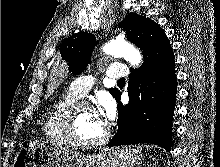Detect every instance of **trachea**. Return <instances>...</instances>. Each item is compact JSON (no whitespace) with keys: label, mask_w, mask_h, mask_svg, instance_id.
I'll use <instances>...</instances> for the list:
<instances>
[{"label":"trachea","mask_w":220,"mask_h":167,"mask_svg":"<svg viewBox=\"0 0 220 167\" xmlns=\"http://www.w3.org/2000/svg\"><path fill=\"white\" fill-rule=\"evenodd\" d=\"M118 82H125V79L121 78V79L118 80Z\"/></svg>","instance_id":"obj_1"}]
</instances>
